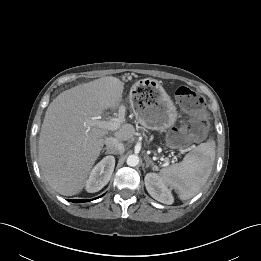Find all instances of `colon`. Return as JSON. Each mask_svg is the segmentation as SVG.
<instances>
[{"label": "colon", "mask_w": 261, "mask_h": 261, "mask_svg": "<svg viewBox=\"0 0 261 261\" xmlns=\"http://www.w3.org/2000/svg\"><path fill=\"white\" fill-rule=\"evenodd\" d=\"M175 99L189 119L169 136V143L179 146L190 140L202 139L208 130V117L205 111V100L198 93L186 86L175 91Z\"/></svg>", "instance_id": "obj_1"}]
</instances>
